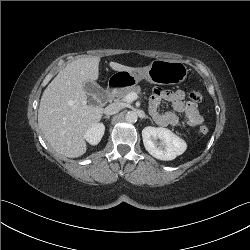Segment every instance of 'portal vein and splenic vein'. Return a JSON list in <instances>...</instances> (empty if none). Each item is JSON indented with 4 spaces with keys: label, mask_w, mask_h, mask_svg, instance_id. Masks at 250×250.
Returning <instances> with one entry per match:
<instances>
[{
    "label": "portal vein and splenic vein",
    "mask_w": 250,
    "mask_h": 250,
    "mask_svg": "<svg viewBox=\"0 0 250 250\" xmlns=\"http://www.w3.org/2000/svg\"><path fill=\"white\" fill-rule=\"evenodd\" d=\"M137 98H139L138 94L135 93V92H131L129 93L126 97H125V100L127 102H133L135 101Z\"/></svg>",
    "instance_id": "1"
}]
</instances>
